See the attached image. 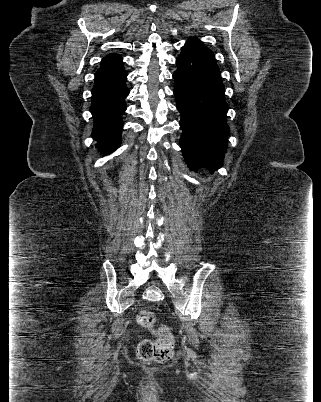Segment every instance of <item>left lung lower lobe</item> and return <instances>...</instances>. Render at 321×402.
<instances>
[{"mask_svg": "<svg viewBox=\"0 0 321 402\" xmlns=\"http://www.w3.org/2000/svg\"><path fill=\"white\" fill-rule=\"evenodd\" d=\"M174 95L181 114L180 146L190 169L223 165L229 126L225 88L214 53L191 38L176 59Z\"/></svg>", "mask_w": 321, "mask_h": 402, "instance_id": "0a47b994", "label": "left lung lower lobe"}]
</instances>
